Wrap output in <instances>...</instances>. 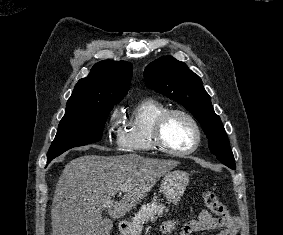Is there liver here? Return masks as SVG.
<instances>
[{
  "mask_svg": "<svg viewBox=\"0 0 283 235\" xmlns=\"http://www.w3.org/2000/svg\"><path fill=\"white\" fill-rule=\"evenodd\" d=\"M180 163L145 158L137 154L120 156L84 155L65 165L56 185L52 209V235H109L107 208L119 219L136 207L155 183ZM121 186L128 188L117 202Z\"/></svg>",
  "mask_w": 283,
  "mask_h": 235,
  "instance_id": "liver-1",
  "label": "liver"
}]
</instances>
